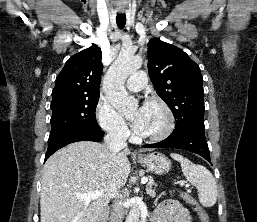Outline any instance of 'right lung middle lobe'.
Returning <instances> with one entry per match:
<instances>
[{
	"mask_svg": "<svg viewBox=\"0 0 257 222\" xmlns=\"http://www.w3.org/2000/svg\"><path fill=\"white\" fill-rule=\"evenodd\" d=\"M98 100L99 95L52 101L50 108L53 114L49 137L68 130L100 131L95 116Z\"/></svg>",
	"mask_w": 257,
	"mask_h": 222,
	"instance_id": "1",
	"label": "right lung middle lobe"
}]
</instances>
